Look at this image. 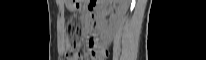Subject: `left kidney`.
<instances>
[{
    "label": "left kidney",
    "instance_id": "1",
    "mask_svg": "<svg viewBox=\"0 0 206 60\" xmlns=\"http://www.w3.org/2000/svg\"><path fill=\"white\" fill-rule=\"evenodd\" d=\"M110 0H100L97 8L98 29L101 39L106 43H110L113 37L114 29L120 17L126 12L127 3L125 0H117L119 3L116 12L112 17L107 20L108 3Z\"/></svg>",
    "mask_w": 206,
    "mask_h": 60
}]
</instances>
